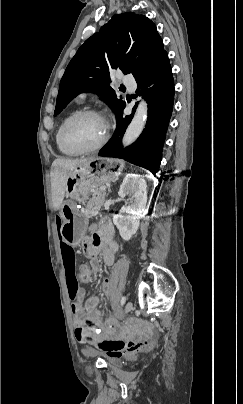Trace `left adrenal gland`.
<instances>
[{
  "instance_id": "obj_1",
  "label": "left adrenal gland",
  "mask_w": 243,
  "mask_h": 404,
  "mask_svg": "<svg viewBox=\"0 0 243 404\" xmlns=\"http://www.w3.org/2000/svg\"><path fill=\"white\" fill-rule=\"evenodd\" d=\"M109 192H110V188H108V194H109ZM108 194H106V196H108Z\"/></svg>"
}]
</instances>
